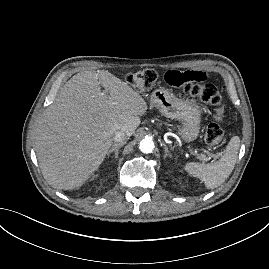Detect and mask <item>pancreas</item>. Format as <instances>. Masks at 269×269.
Wrapping results in <instances>:
<instances>
[{
  "label": "pancreas",
  "instance_id": "pancreas-1",
  "mask_svg": "<svg viewBox=\"0 0 269 269\" xmlns=\"http://www.w3.org/2000/svg\"><path fill=\"white\" fill-rule=\"evenodd\" d=\"M199 158H200V160H203V161H205V160L207 159V158H206L205 156H203V155L200 156Z\"/></svg>",
  "mask_w": 269,
  "mask_h": 269
}]
</instances>
